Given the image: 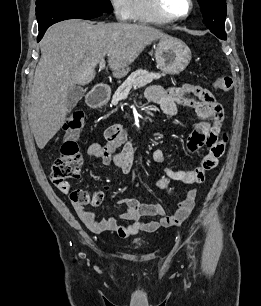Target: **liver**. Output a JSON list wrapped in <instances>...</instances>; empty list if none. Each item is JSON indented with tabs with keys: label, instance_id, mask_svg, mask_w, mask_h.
<instances>
[{
	"label": "liver",
	"instance_id": "6515ba94",
	"mask_svg": "<svg viewBox=\"0 0 261 306\" xmlns=\"http://www.w3.org/2000/svg\"><path fill=\"white\" fill-rule=\"evenodd\" d=\"M168 37L141 24L97 23L71 19L54 24L40 42L41 58L30 91L29 124L38 148L43 149L65 123L66 97L76 85L90 83L99 61L108 57L116 78L153 41Z\"/></svg>",
	"mask_w": 261,
	"mask_h": 306
}]
</instances>
